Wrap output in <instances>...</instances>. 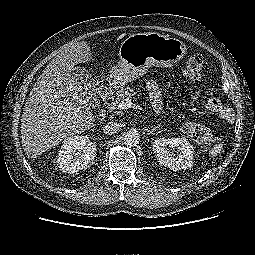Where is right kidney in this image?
<instances>
[{"label":"right kidney","instance_id":"obj_1","mask_svg":"<svg viewBox=\"0 0 255 255\" xmlns=\"http://www.w3.org/2000/svg\"><path fill=\"white\" fill-rule=\"evenodd\" d=\"M97 152L96 145L86 136H71L64 140L57 163L64 173H76L86 169Z\"/></svg>","mask_w":255,"mask_h":255}]
</instances>
